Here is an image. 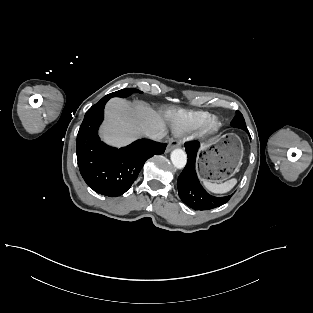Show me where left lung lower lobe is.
<instances>
[{"label": "left lung lower lobe", "instance_id": "obj_1", "mask_svg": "<svg viewBox=\"0 0 313 313\" xmlns=\"http://www.w3.org/2000/svg\"><path fill=\"white\" fill-rule=\"evenodd\" d=\"M246 132L249 133L248 131ZM198 148V142L185 143L188 162L178 177V193L181 200L194 210L213 209L227 203L231 196L214 197L208 194L201 186L195 171Z\"/></svg>", "mask_w": 313, "mask_h": 313}]
</instances>
